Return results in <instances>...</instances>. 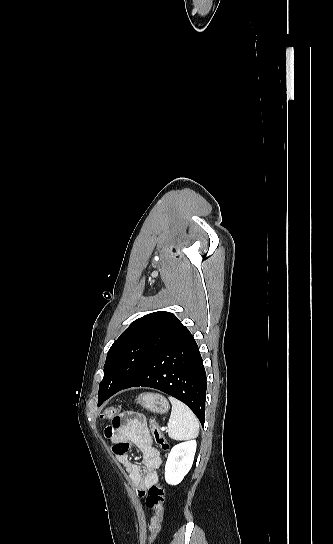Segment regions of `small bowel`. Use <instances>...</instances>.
Listing matches in <instances>:
<instances>
[{
  "label": "small bowel",
  "instance_id": "obj_1",
  "mask_svg": "<svg viewBox=\"0 0 333 544\" xmlns=\"http://www.w3.org/2000/svg\"><path fill=\"white\" fill-rule=\"evenodd\" d=\"M105 436L110 440L112 451L124 467L138 496L144 497L147 490L157 483V469L161 465L160 453L153 446L152 437L144 419L132 412L118 415L106 427ZM130 444H134L141 452V463L132 461L128 456Z\"/></svg>",
  "mask_w": 333,
  "mask_h": 544
}]
</instances>
